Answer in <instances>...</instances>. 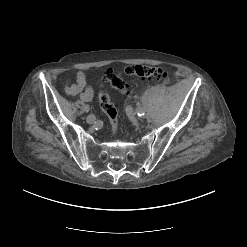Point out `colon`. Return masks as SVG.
I'll return each mask as SVG.
<instances>
[{"label":"colon","mask_w":247,"mask_h":247,"mask_svg":"<svg viewBox=\"0 0 247 247\" xmlns=\"http://www.w3.org/2000/svg\"><path fill=\"white\" fill-rule=\"evenodd\" d=\"M124 73L128 76H137L148 81H164L167 78V71L162 67L148 65H132L124 68ZM103 77L110 85L122 94H128L129 88L121 76L115 74L111 69H106ZM99 102L102 111L107 115L113 136L118 131V113L109 95L102 91L99 94Z\"/></svg>","instance_id":"1"}]
</instances>
